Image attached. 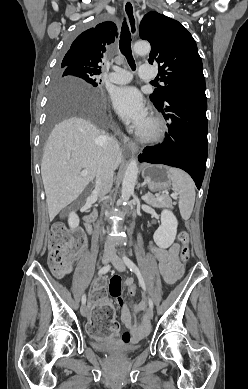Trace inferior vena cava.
Segmentation results:
<instances>
[{
  "mask_svg": "<svg viewBox=\"0 0 248 389\" xmlns=\"http://www.w3.org/2000/svg\"><path fill=\"white\" fill-rule=\"evenodd\" d=\"M119 151L120 149L117 140L113 137H107L103 145V152L96 173V185L94 189V193L100 198L105 197L112 188L116 158ZM105 251L115 253V247L110 241L105 242Z\"/></svg>",
  "mask_w": 248,
  "mask_h": 389,
  "instance_id": "inferior-vena-cava-1",
  "label": "inferior vena cava"
}]
</instances>
